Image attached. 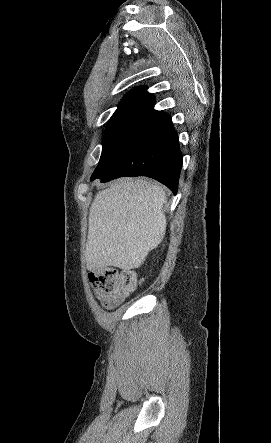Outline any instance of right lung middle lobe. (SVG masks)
Segmentation results:
<instances>
[{
	"label": "right lung middle lobe",
	"instance_id": "right-lung-middle-lobe-1",
	"mask_svg": "<svg viewBox=\"0 0 271 443\" xmlns=\"http://www.w3.org/2000/svg\"><path fill=\"white\" fill-rule=\"evenodd\" d=\"M152 104L148 103H120L118 109L112 115L103 142L102 154L99 164L93 175L101 172L112 161L124 139L135 127L137 122L146 115Z\"/></svg>",
	"mask_w": 271,
	"mask_h": 443
}]
</instances>
